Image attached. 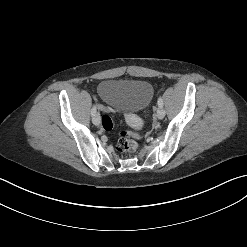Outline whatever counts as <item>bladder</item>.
Segmentation results:
<instances>
[{
	"label": "bladder",
	"mask_w": 247,
	"mask_h": 247,
	"mask_svg": "<svg viewBox=\"0 0 247 247\" xmlns=\"http://www.w3.org/2000/svg\"><path fill=\"white\" fill-rule=\"evenodd\" d=\"M97 91L109 107L130 114L147 106L153 97L152 85L138 80L105 79Z\"/></svg>",
	"instance_id": "bladder-1"
}]
</instances>
